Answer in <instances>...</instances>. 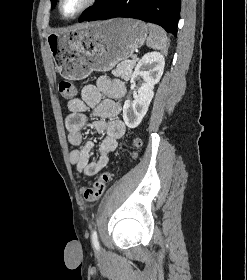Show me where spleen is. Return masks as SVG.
Returning <instances> with one entry per match:
<instances>
[{
	"mask_svg": "<svg viewBox=\"0 0 247 280\" xmlns=\"http://www.w3.org/2000/svg\"><path fill=\"white\" fill-rule=\"evenodd\" d=\"M149 36L147 38V46L152 49L161 50L163 53L168 51V38L165 31L152 23H148Z\"/></svg>",
	"mask_w": 247,
	"mask_h": 280,
	"instance_id": "1",
	"label": "spleen"
}]
</instances>
